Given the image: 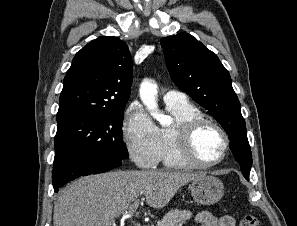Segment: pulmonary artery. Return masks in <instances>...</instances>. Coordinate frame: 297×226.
I'll use <instances>...</instances> for the list:
<instances>
[{
  "label": "pulmonary artery",
  "mask_w": 297,
  "mask_h": 226,
  "mask_svg": "<svg viewBox=\"0 0 297 226\" xmlns=\"http://www.w3.org/2000/svg\"><path fill=\"white\" fill-rule=\"evenodd\" d=\"M165 103H181L185 104L188 102V97L184 92L178 90H169L164 94L163 97Z\"/></svg>",
  "instance_id": "e3ab8cb5"
}]
</instances>
